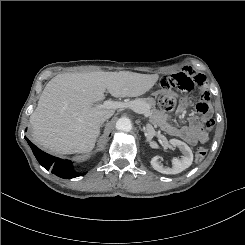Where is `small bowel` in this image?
<instances>
[{
  "mask_svg": "<svg viewBox=\"0 0 245 245\" xmlns=\"http://www.w3.org/2000/svg\"><path fill=\"white\" fill-rule=\"evenodd\" d=\"M158 84L163 90H169L172 88V86H176L183 91H188L192 88H197L203 91L206 86V81L202 74L192 70L191 68L185 67L169 76H161ZM201 97V101L196 104V110L201 114V117L190 116L188 118L187 125L170 124L166 114L164 112H159L156 114L157 124L167 134L181 138L190 145H195L198 142H206L208 136L203 130V123L205 122L206 115L209 112V104L204 92H202ZM185 105L186 102L181 101L178 106V111L182 112Z\"/></svg>",
  "mask_w": 245,
  "mask_h": 245,
  "instance_id": "obj_1",
  "label": "small bowel"
}]
</instances>
